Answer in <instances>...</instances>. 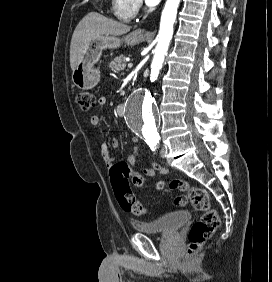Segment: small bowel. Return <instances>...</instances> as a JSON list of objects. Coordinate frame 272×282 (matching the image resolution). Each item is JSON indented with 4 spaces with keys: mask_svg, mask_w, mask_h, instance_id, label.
<instances>
[{
    "mask_svg": "<svg viewBox=\"0 0 272 282\" xmlns=\"http://www.w3.org/2000/svg\"><path fill=\"white\" fill-rule=\"evenodd\" d=\"M99 103H100V106H103L106 103L105 98H101ZM90 123H91L92 126H98L99 123H100V116L99 115H93L90 118ZM132 140L135 143V146L133 147L132 152H131L130 156L128 157V159L126 161L122 162L123 165L128 169H130L131 166H133L134 163H135L136 153H137V149H138L137 144L139 143V137H134ZM110 145L114 149H117L118 146H119L118 140L112 139L111 142H110ZM100 150H101V155H102L104 163L107 166H110L113 163L114 158L109 153V143L106 142V141H103L100 145ZM145 163L150 164L149 167H145L144 170H143V173L148 177L153 176L156 171H161L162 173L167 172V170L165 168L161 167L157 163H154V162L150 163L149 161H145ZM154 187L156 189H161V188L164 187V182L158 181V182L155 183Z\"/></svg>",
    "mask_w": 272,
    "mask_h": 282,
    "instance_id": "c3829d8e",
    "label": "small bowel"
}]
</instances>
